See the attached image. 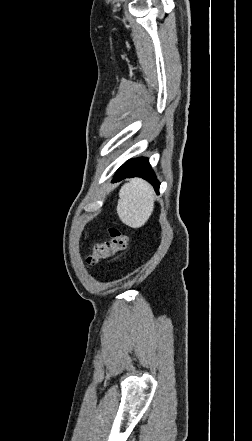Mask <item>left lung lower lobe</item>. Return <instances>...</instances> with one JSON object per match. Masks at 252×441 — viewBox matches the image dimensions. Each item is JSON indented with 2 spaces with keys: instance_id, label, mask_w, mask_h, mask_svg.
I'll list each match as a JSON object with an SVG mask.
<instances>
[{
  "instance_id": "0a47b994",
  "label": "left lung lower lobe",
  "mask_w": 252,
  "mask_h": 441,
  "mask_svg": "<svg viewBox=\"0 0 252 441\" xmlns=\"http://www.w3.org/2000/svg\"><path fill=\"white\" fill-rule=\"evenodd\" d=\"M141 177L149 181L159 193V182L157 181L153 170L147 158H137L128 160L123 164L114 176V181L118 182L124 178Z\"/></svg>"
}]
</instances>
